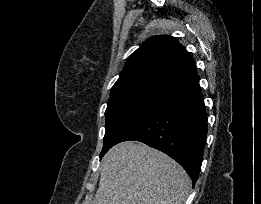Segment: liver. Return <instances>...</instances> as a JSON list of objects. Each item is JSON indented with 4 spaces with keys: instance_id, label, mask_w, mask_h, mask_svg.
Wrapping results in <instances>:
<instances>
[{
    "instance_id": "1",
    "label": "liver",
    "mask_w": 261,
    "mask_h": 204,
    "mask_svg": "<svg viewBox=\"0 0 261 204\" xmlns=\"http://www.w3.org/2000/svg\"><path fill=\"white\" fill-rule=\"evenodd\" d=\"M190 183L185 170L165 153L126 141L103 158L91 204H183Z\"/></svg>"
}]
</instances>
